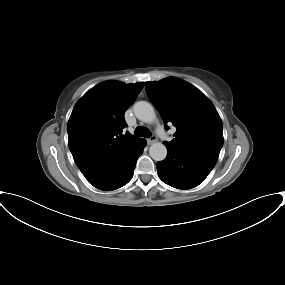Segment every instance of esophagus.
<instances>
[{
  "label": "esophagus",
  "instance_id": "obj_1",
  "mask_svg": "<svg viewBox=\"0 0 285 285\" xmlns=\"http://www.w3.org/2000/svg\"><path fill=\"white\" fill-rule=\"evenodd\" d=\"M157 140H158L157 137L153 135V136H151L150 138L147 139V144L151 145V144L157 142Z\"/></svg>",
  "mask_w": 285,
  "mask_h": 285
}]
</instances>
